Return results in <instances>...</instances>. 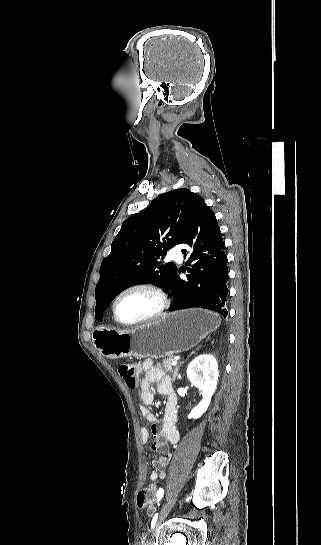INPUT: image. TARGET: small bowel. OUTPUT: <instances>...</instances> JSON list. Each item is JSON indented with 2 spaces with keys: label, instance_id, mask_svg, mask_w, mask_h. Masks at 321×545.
<instances>
[{
  "label": "small bowel",
  "instance_id": "small-bowel-1",
  "mask_svg": "<svg viewBox=\"0 0 321 545\" xmlns=\"http://www.w3.org/2000/svg\"><path fill=\"white\" fill-rule=\"evenodd\" d=\"M141 371L143 380L140 390V411L143 418L151 424V427L150 432L144 427L141 428L140 434L144 443L149 440L151 434L153 438L151 448L159 454V456L153 458V464L157 469L150 474V480L157 481L166 477V467L171 460L169 446L176 444L180 438L177 427V397L170 378L162 369L154 366L152 360H144L141 363ZM152 384H157L158 393L167 398L162 421H159L148 408L154 401Z\"/></svg>",
  "mask_w": 321,
  "mask_h": 545
}]
</instances>
